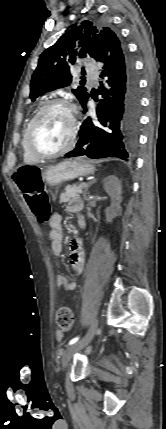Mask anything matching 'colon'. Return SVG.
<instances>
[{
	"instance_id": "1",
	"label": "colon",
	"mask_w": 166,
	"mask_h": 429,
	"mask_svg": "<svg viewBox=\"0 0 166 429\" xmlns=\"http://www.w3.org/2000/svg\"><path fill=\"white\" fill-rule=\"evenodd\" d=\"M13 180L32 212L39 220H46L50 205L43 187L41 168L38 165H23L14 172ZM55 320L59 330L70 331L74 323L72 310L68 306H61Z\"/></svg>"
}]
</instances>
